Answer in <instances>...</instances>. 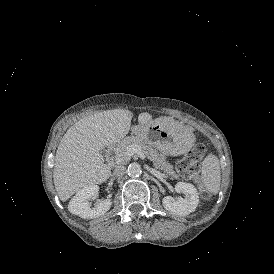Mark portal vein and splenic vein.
Segmentation results:
<instances>
[{
    "label": "portal vein and splenic vein",
    "mask_w": 274,
    "mask_h": 274,
    "mask_svg": "<svg viewBox=\"0 0 274 274\" xmlns=\"http://www.w3.org/2000/svg\"><path fill=\"white\" fill-rule=\"evenodd\" d=\"M128 155H132V154H137L139 157L143 158L144 155L143 153L141 152V149L138 145H131L128 147V151H127Z\"/></svg>",
    "instance_id": "obj_1"
}]
</instances>
